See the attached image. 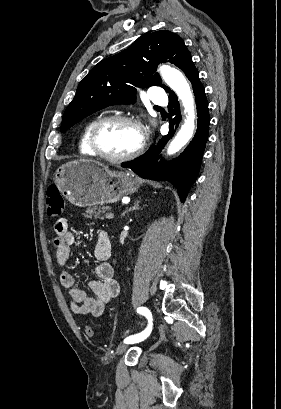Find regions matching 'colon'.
Wrapping results in <instances>:
<instances>
[{
	"label": "colon",
	"instance_id": "obj_1",
	"mask_svg": "<svg viewBox=\"0 0 281 409\" xmlns=\"http://www.w3.org/2000/svg\"><path fill=\"white\" fill-rule=\"evenodd\" d=\"M46 204L48 218L56 219L62 214L64 210V202L57 187H51L48 189ZM84 332L89 336L93 331L88 327Z\"/></svg>",
	"mask_w": 281,
	"mask_h": 409
}]
</instances>
